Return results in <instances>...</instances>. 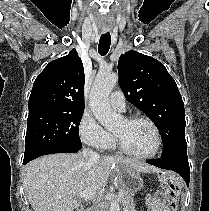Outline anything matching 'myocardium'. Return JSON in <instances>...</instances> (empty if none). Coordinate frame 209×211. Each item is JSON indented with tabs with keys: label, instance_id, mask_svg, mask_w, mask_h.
I'll return each mask as SVG.
<instances>
[{
	"label": "myocardium",
	"instance_id": "1",
	"mask_svg": "<svg viewBox=\"0 0 209 211\" xmlns=\"http://www.w3.org/2000/svg\"><path fill=\"white\" fill-rule=\"evenodd\" d=\"M125 121L128 123L142 121V122H145L148 125H150V127L154 131L155 138H156L155 147L148 154L138 155V154L132 153L124 146L120 137L114 133L113 136H114V141H115V145H116L117 149L124 155H126L130 158L136 159V160L144 161V160H150V159L156 157L162 147V135H161V132H160L158 126L156 125V123L151 118L144 116V115H133V116L127 117L125 119Z\"/></svg>",
	"mask_w": 209,
	"mask_h": 211
}]
</instances>
